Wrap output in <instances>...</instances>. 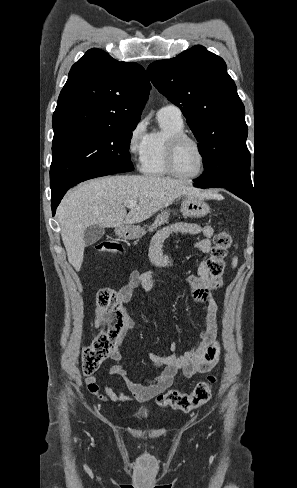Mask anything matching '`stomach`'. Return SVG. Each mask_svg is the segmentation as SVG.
Masks as SVG:
<instances>
[{
  "label": "stomach",
  "mask_w": 297,
  "mask_h": 488,
  "mask_svg": "<svg viewBox=\"0 0 297 488\" xmlns=\"http://www.w3.org/2000/svg\"><path fill=\"white\" fill-rule=\"evenodd\" d=\"M181 213L185 217L201 218L210 213V207L199 196L186 194L181 204ZM116 234L125 239H136L142 237L145 230L140 226L124 225L116 229Z\"/></svg>",
  "instance_id": "stomach-1"
}]
</instances>
